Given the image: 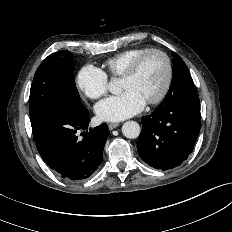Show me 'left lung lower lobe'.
<instances>
[{"label": "left lung lower lobe", "instance_id": "left-lung-lower-lobe-1", "mask_svg": "<svg viewBox=\"0 0 232 232\" xmlns=\"http://www.w3.org/2000/svg\"><path fill=\"white\" fill-rule=\"evenodd\" d=\"M201 127L198 97L168 99L142 117L137 150L150 166L167 170L184 162L193 151Z\"/></svg>", "mask_w": 232, "mask_h": 232}]
</instances>
